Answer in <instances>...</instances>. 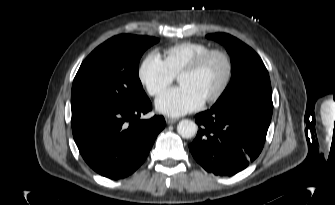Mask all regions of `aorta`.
Masks as SVG:
<instances>
[{
    "label": "aorta",
    "mask_w": 335,
    "mask_h": 205,
    "mask_svg": "<svg viewBox=\"0 0 335 205\" xmlns=\"http://www.w3.org/2000/svg\"><path fill=\"white\" fill-rule=\"evenodd\" d=\"M197 125L188 119L181 120L177 125V132L182 138H192L197 133Z\"/></svg>",
    "instance_id": "aorta-1"
}]
</instances>
